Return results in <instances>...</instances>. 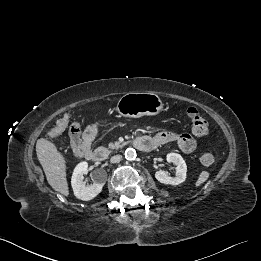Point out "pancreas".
<instances>
[{
  "label": "pancreas",
  "mask_w": 261,
  "mask_h": 261,
  "mask_svg": "<svg viewBox=\"0 0 261 261\" xmlns=\"http://www.w3.org/2000/svg\"><path fill=\"white\" fill-rule=\"evenodd\" d=\"M126 143L123 142H114V143H109L108 147L109 149H118V148H122Z\"/></svg>",
  "instance_id": "obj_1"
}]
</instances>
